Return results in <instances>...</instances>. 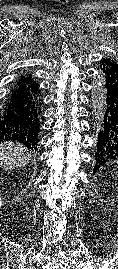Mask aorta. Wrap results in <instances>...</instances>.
<instances>
[{
	"label": "aorta",
	"instance_id": "obj_1",
	"mask_svg": "<svg viewBox=\"0 0 118 269\" xmlns=\"http://www.w3.org/2000/svg\"><path fill=\"white\" fill-rule=\"evenodd\" d=\"M105 77L102 72H98L93 76L92 89H91V102L92 108L97 120H102L103 105H104V92H105Z\"/></svg>",
	"mask_w": 118,
	"mask_h": 269
}]
</instances>
